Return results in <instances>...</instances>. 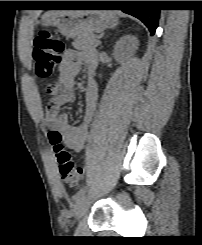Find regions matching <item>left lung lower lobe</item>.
<instances>
[{"label":"left lung lower lobe","mask_w":202,"mask_h":245,"mask_svg":"<svg viewBox=\"0 0 202 245\" xmlns=\"http://www.w3.org/2000/svg\"><path fill=\"white\" fill-rule=\"evenodd\" d=\"M145 1H84L85 6L113 5L121 7L120 10L140 19L149 29L151 35L154 34L159 20V10L146 8Z\"/></svg>","instance_id":"0a47b994"}]
</instances>
